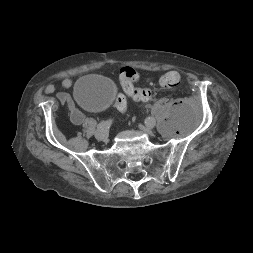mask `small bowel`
<instances>
[{"label":"small bowel","instance_id":"small-bowel-1","mask_svg":"<svg viewBox=\"0 0 253 253\" xmlns=\"http://www.w3.org/2000/svg\"><path fill=\"white\" fill-rule=\"evenodd\" d=\"M72 84H73V81L70 78H65L62 81V86L65 87V88H70L72 86ZM52 89H53V87H48L46 89V93L51 92ZM58 99L62 103H65L69 100V97L66 93L61 92V93L58 94ZM70 117H71L72 122L76 125H80L84 121L83 113L81 111L77 110V109L72 110Z\"/></svg>","mask_w":253,"mask_h":253}]
</instances>
